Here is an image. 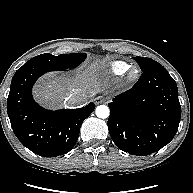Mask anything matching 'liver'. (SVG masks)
Here are the masks:
<instances>
[{"instance_id": "6515ba94", "label": "liver", "mask_w": 193, "mask_h": 193, "mask_svg": "<svg viewBox=\"0 0 193 193\" xmlns=\"http://www.w3.org/2000/svg\"><path fill=\"white\" fill-rule=\"evenodd\" d=\"M101 67V62H95L74 76L48 73L36 83L34 98L47 108H55L73 93H80L88 101L102 86L97 77Z\"/></svg>"}]
</instances>
